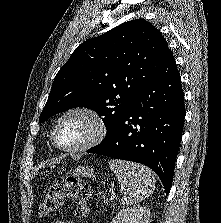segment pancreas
Wrapping results in <instances>:
<instances>
[{
	"label": "pancreas",
	"instance_id": "1",
	"mask_svg": "<svg viewBox=\"0 0 221 223\" xmlns=\"http://www.w3.org/2000/svg\"><path fill=\"white\" fill-rule=\"evenodd\" d=\"M114 198H115V196H113V195H112L109 199L107 198V199H106V203L108 204L109 201H112Z\"/></svg>",
	"mask_w": 221,
	"mask_h": 223
}]
</instances>
